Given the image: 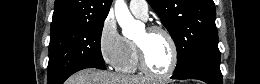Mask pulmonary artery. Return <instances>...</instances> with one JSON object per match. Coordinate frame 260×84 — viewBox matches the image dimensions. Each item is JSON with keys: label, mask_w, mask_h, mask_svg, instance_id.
Masks as SVG:
<instances>
[{"label": "pulmonary artery", "mask_w": 260, "mask_h": 84, "mask_svg": "<svg viewBox=\"0 0 260 84\" xmlns=\"http://www.w3.org/2000/svg\"><path fill=\"white\" fill-rule=\"evenodd\" d=\"M129 8L135 16H137V17H139L143 20L147 19V17H148V4H147L146 1H142V0L131 1L129 3Z\"/></svg>", "instance_id": "obj_1"}]
</instances>
